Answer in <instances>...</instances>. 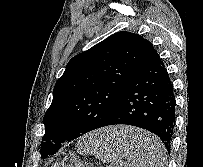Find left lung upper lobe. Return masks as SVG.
Returning a JSON list of instances; mask_svg holds the SVG:
<instances>
[{"instance_id":"1","label":"left lung upper lobe","mask_w":203,"mask_h":167,"mask_svg":"<svg viewBox=\"0 0 203 167\" xmlns=\"http://www.w3.org/2000/svg\"><path fill=\"white\" fill-rule=\"evenodd\" d=\"M141 35L120 31L74 56L58 79L43 117L41 157L54 145L99 128L116 110L135 72L154 52Z\"/></svg>"}]
</instances>
